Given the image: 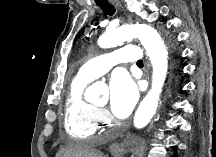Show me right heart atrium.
I'll return each instance as SVG.
<instances>
[{"instance_id": "1", "label": "right heart atrium", "mask_w": 216, "mask_h": 157, "mask_svg": "<svg viewBox=\"0 0 216 157\" xmlns=\"http://www.w3.org/2000/svg\"><path fill=\"white\" fill-rule=\"evenodd\" d=\"M97 121L99 124H107L110 121L109 115L107 114V112L103 109H99L98 110V114H97Z\"/></svg>"}]
</instances>
